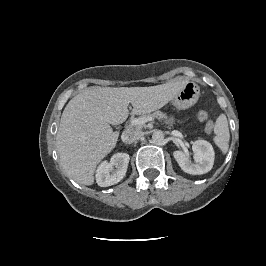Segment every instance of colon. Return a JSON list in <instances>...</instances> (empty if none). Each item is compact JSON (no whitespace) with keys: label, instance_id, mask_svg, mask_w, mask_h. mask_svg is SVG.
I'll use <instances>...</instances> for the list:
<instances>
[{"label":"colon","instance_id":"1","mask_svg":"<svg viewBox=\"0 0 266 266\" xmlns=\"http://www.w3.org/2000/svg\"><path fill=\"white\" fill-rule=\"evenodd\" d=\"M197 118L200 121H205L208 118V114L205 111H199L197 113ZM212 129H213V123L211 121L207 122V124H206V130L210 132V131H212Z\"/></svg>","mask_w":266,"mask_h":266}]
</instances>
